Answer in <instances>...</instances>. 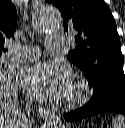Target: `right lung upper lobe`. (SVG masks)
Returning <instances> with one entry per match:
<instances>
[{
    "instance_id": "obj_1",
    "label": "right lung upper lobe",
    "mask_w": 125,
    "mask_h": 128,
    "mask_svg": "<svg viewBox=\"0 0 125 128\" xmlns=\"http://www.w3.org/2000/svg\"><path fill=\"white\" fill-rule=\"evenodd\" d=\"M17 26V11L11 0H0V56L5 52V38H10Z\"/></svg>"
}]
</instances>
